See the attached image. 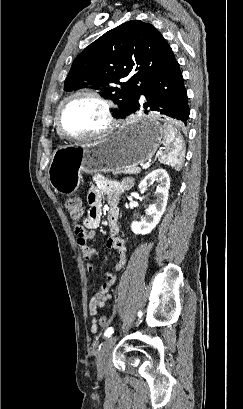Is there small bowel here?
<instances>
[{"label": "small bowel", "instance_id": "c3829d8e", "mask_svg": "<svg viewBox=\"0 0 243 409\" xmlns=\"http://www.w3.org/2000/svg\"><path fill=\"white\" fill-rule=\"evenodd\" d=\"M133 184L134 180L132 178L124 179L121 182L97 178L91 183L87 197L89 208L84 219V225L89 231H87L85 236L78 237V245L89 272H93L95 269L94 265L90 262L92 256H98L99 253L89 247L88 241L94 237V230L100 225L103 206L107 209L111 231V235L106 244L107 247L115 251L117 255L114 268L116 271H121L125 267L127 262L125 242L122 238L117 236V219L119 215L117 204L123 193L130 189ZM106 276L107 281L95 289L89 302V314L92 322L91 331L93 333L97 331L98 309L106 306L111 299L109 292L117 278V275L113 272H106Z\"/></svg>", "mask_w": 243, "mask_h": 409}]
</instances>
